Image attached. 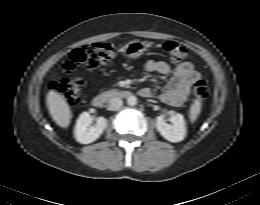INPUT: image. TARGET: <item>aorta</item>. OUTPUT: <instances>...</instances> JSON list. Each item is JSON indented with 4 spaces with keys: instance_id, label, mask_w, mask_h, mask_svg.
I'll return each instance as SVG.
<instances>
[{
    "instance_id": "1",
    "label": "aorta",
    "mask_w": 260,
    "mask_h": 205,
    "mask_svg": "<svg viewBox=\"0 0 260 205\" xmlns=\"http://www.w3.org/2000/svg\"><path fill=\"white\" fill-rule=\"evenodd\" d=\"M127 104L130 105V106L136 105L137 104V98L134 95H130L127 98Z\"/></svg>"
}]
</instances>
